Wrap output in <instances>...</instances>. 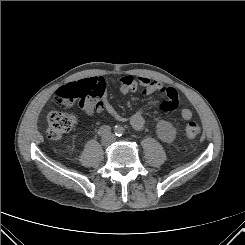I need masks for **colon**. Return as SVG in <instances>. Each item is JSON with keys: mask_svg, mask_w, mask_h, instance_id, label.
Returning a JSON list of instances; mask_svg holds the SVG:
<instances>
[{"mask_svg": "<svg viewBox=\"0 0 245 245\" xmlns=\"http://www.w3.org/2000/svg\"><path fill=\"white\" fill-rule=\"evenodd\" d=\"M99 94L96 83L91 79H83L77 82L68 83L60 87L57 92V101L62 106H70L78 101L81 105L88 98ZM76 118L73 114L63 110H53L48 115V135L51 139H59L64 134L74 129ZM200 126L196 122H189L185 127V135L190 139L200 134Z\"/></svg>", "mask_w": 245, "mask_h": 245, "instance_id": "1", "label": "colon"}]
</instances>
